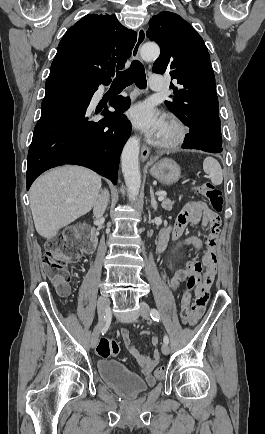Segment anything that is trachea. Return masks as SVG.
Returning a JSON list of instances; mask_svg holds the SVG:
<instances>
[{
  "mask_svg": "<svg viewBox=\"0 0 265 434\" xmlns=\"http://www.w3.org/2000/svg\"><path fill=\"white\" fill-rule=\"evenodd\" d=\"M114 82L124 85H130L135 82L138 88L145 89L147 81L143 64L139 60H133L130 68L123 72H117Z\"/></svg>",
  "mask_w": 265,
  "mask_h": 434,
  "instance_id": "1",
  "label": "trachea"
}]
</instances>
